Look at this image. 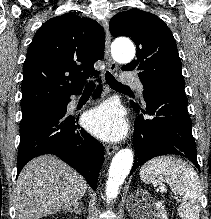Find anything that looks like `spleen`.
Wrapping results in <instances>:
<instances>
[{
	"mask_svg": "<svg viewBox=\"0 0 211 219\" xmlns=\"http://www.w3.org/2000/svg\"><path fill=\"white\" fill-rule=\"evenodd\" d=\"M140 178L147 183L156 179L168 183L175 194L183 197L178 208L179 216L182 219H199L200 180L189 164L173 156L154 158L141 167Z\"/></svg>",
	"mask_w": 211,
	"mask_h": 219,
	"instance_id": "1",
	"label": "spleen"
}]
</instances>
